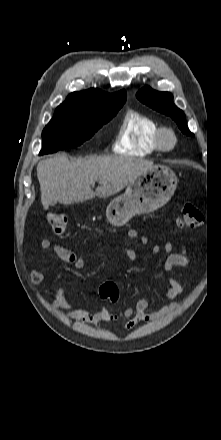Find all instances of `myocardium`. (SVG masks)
Listing matches in <instances>:
<instances>
[{
	"label": "myocardium",
	"instance_id": "obj_1",
	"mask_svg": "<svg viewBox=\"0 0 221 440\" xmlns=\"http://www.w3.org/2000/svg\"><path fill=\"white\" fill-rule=\"evenodd\" d=\"M157 144L162 151H172L178 144V136L172 128L160 127L157 132Z\"/></svg>",
	"mask_w": 221,
	"mask_h": 440
}]
</instances>
